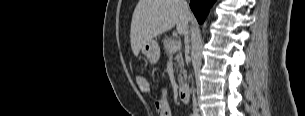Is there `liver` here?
I'll use <instances>...</instances> for the list:
<instances>
[{"label": "liver", "instance_id": "6515ba94", "mask_svg": "<svg viewBox=\"0 0 305 116\" xmlns=\"http://www.w3.org/2000/svg\"><path fill=\"white\" fill-rule=\"evenodd\" d=\"M192 19L185 0H139L131 22V48L135 56L147 41L171 30L183 35Z\"/></svg>", "mask_w": 305, "mask_h": 116}]
</instances>
